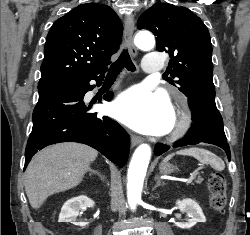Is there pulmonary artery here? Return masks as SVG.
I'll return each mask as SVG.
<instances>
[{"mask_svg": "<svg viewBox=\"0 0 250 235\" xmlns=\"http://www.w3.org/2000/svg\"><path fill=\"white\" fill-rule=\"evenodd\" d=\"M142 68L145 72L154 73L163 68V60L158 52H149L145 56V60L142 64Z\"/></svg>", "mask_w": 250, "mask_h": 235, "instance_id": "e3ab8cb5", "label": "pulmonary artery"}]
</instances>
